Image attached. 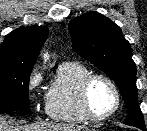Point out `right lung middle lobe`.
I'll return each instance as SVG.
<instances>
[{
	"label": "right lung middle lobe",
	"instance_id": "1",
	"mask_svg": "<svg viewBox=\"0 0 147 131\" xmlns=\"http://www.w3.org/2000/svg\"><path fill=\"white\" fill-rule=\"evenodd\" d=\"M32 69H0V114L30 112L29 78Z\"/></svg>",
	"mask_w": 147,
	"mask_h": 131
}]
</instances>
